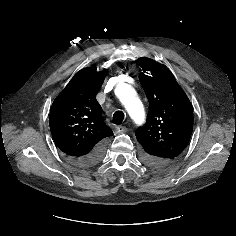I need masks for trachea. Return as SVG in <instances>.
<instances>
[{
  "label": "trachea",
  "mask_w": 236,
  "mask_h": 236,
  "mask_svg": "<svg viewBox=\"0 0 236 236\" xmlns=\"http://www.w3.org/2000/svg\"><path fill=\"white\" fill-rule=\"evenodd\" d=\"M124 113L122 111H116L113 115V123L116 125L122 124L124 120Z\"/></svg>",
  "instance_id": "trachea-1"
}]
</instances>
